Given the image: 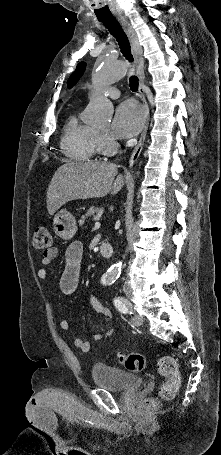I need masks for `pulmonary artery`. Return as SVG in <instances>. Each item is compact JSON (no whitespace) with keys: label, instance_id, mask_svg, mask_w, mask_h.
Instances as JSON below:
<instances>
[{"label":"pulmonary artery","instance_id":"pulmonary-artery-1","mask_svg":"<svg viewBox=\"0 0 221 455\" xmlns=\"http://www.w3.org/2000/svg\"><path fill=\"white\" fill-rule=\"evenodd\" d=\"M104 92L112 99H117L120 95L119 90L115 87H106Z\"/></svg>","mask_w":221,"mask_h":455}]
</instances>
